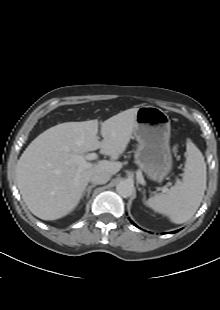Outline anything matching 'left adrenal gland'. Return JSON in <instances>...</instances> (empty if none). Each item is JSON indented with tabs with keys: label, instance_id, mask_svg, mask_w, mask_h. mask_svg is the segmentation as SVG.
<instances>
[{
	"label": "left adrenal gland",
	"instance_id": "obj_1",
	"mask_svg": "<svg viewBox=\"0 0 220 310\" xmlns=\"http://www.w3.org/2000/svg\"><path fill=\"white\" fill-rule=\"evenodd\" d=\"M143 193H145V192H143ZM145 198H146V197H145V195H144V198H143L144 201H145Z\"/></svg>",
	"mask_w": 220,
	"mask_h": 310
}]
</instances>
